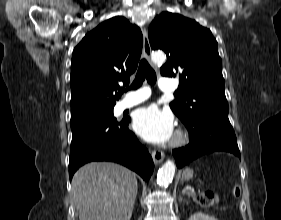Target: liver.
<instances>
[{
	"label": "liver",
	"instance_id": "1",
	"mask_svg": "<svg viewBox=\"0 0 281 220\" xmlns=\"http://www.w3.org/2000/svg\"><path fill=\"white\" fill-rule=\"evenodd\" d=\"M137 191L135 174L110 162L88 163L72 179L79 220H130Z\"/></svg>",
	"mask_w": 281,
	"mask_h": 220
}]
</instances>
